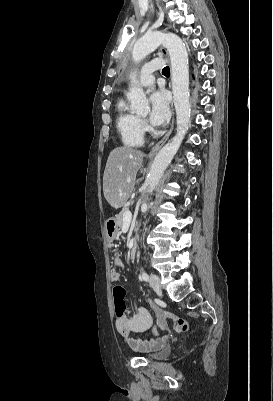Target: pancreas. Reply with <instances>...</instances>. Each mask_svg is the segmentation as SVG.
<instances>
[{
    "label": "pancreas",
    "mask_w": 273,
    "mask_h": 401,
    "mask_svg": "<svg viewBox=\"0 0 273 401\" xmlns=\"http://www.w3.org/2000/svg\"><path fill=\"white\" fill-rule=\"evenodd\" d=\"M125 211H129V207H124V209H122V211H120L119 215H117L116 221H117V225H118V227H120V229H121V227H123V215H124Z\"/></svg>",
    "instance_id": "obj_1"
}]
</instances>
